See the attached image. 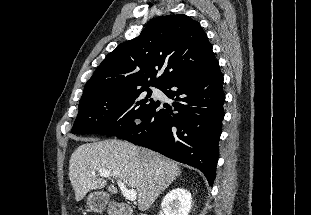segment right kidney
<instances>
[{
	"label": "right kidney",
	"mask_w": 311,
	"mask_h": 215,
	"mask_svg": "<svg viewBox=\"0 0 311 215\" xmlns=\"http://www.w3.org/2000/svg\"><path fill=\"white\" fill-rule=\"evenodd\" d=\"M191 206V193L183 188H175L168 192L161 203L165 215H188Z\"/></svg>",
	"instance_id": "1"
}]
</instances>
